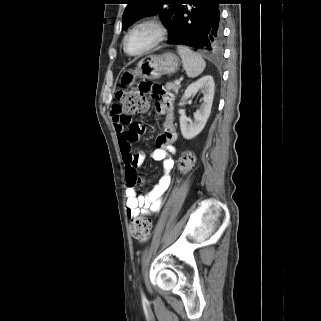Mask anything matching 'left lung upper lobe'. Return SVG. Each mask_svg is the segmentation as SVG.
Masks as SVG:
<instances>
[{"mask_svg": "<svg viewBox=\"0 0 321 321\" xmlns=\"http://www.w3.org/2000/svg\"><path fill=\"white\" fill-rule=\"evenodd\" d=\"M182 0H127L124 10L122 24L126 30L136 20L158 14L163 24L168 28L169 23L176 13Z\"/></svg>", "mask_w": 321, "mask_h": 321, "instance_id": "5c2ea615", "label": "left lung upper lobe"}]
</instances>
